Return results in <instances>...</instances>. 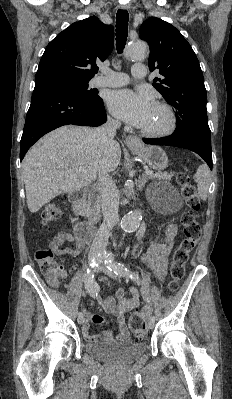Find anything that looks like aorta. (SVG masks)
<instances>
[{
	"label": "aorta",
	"mask_w": 232,
	"mask_h": 399,
	"mask_svg": "<svg viewBox=\"0 0 232 399\" xmlns=\"http://www.w3.org/2000/svg\"><path fill=\"white\" fill-rule=\"evenodd\" d=\"M148 46L145 42L136 41L129 44L125 50V57L140 60L146 55ZM126 194L128 197L133 194V181L127 180L125 183ZM142 221V214L138 210L127 213L121 220V227L126 232H134L140 226Z\"/></svg>",
	"instance_id": "1"
}]
</instances>
